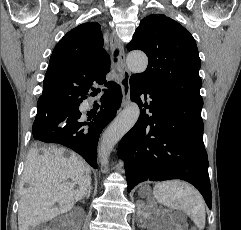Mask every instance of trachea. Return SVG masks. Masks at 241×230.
Here are the masks:
<instances>
[{
	"label": "trachea",
	"instance_id": "trachea-1",
	"mask_svg": "<svg viewBox=\"0 0 241 230\" xmlns=\"http://www.w3.org/2000/svg\"><path fill=\"white\" fill-rule=\"evenodd\" d=\"M117 55H118V51L115 52V56H117ZM99 92H100V89H97V90H95L94 92H92L91 95H92V96H95V95H97V93H99Z\"/></svg>",
	"mask_w": 241,
	"mask_h": 230
}]
</instances>
